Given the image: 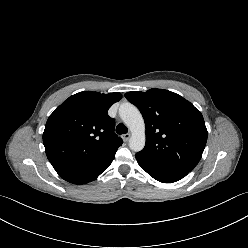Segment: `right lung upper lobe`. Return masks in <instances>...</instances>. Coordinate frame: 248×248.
<instances>
[{
    "instance_id": "obj_1",
    "label": "right lung upper lobe",
    "mask_w": 248,
    "mask_h": 248,
    "mask_svg": "<svg viewBox=\"0 0 248 248\" xmlns=\"http://www.w3.org/2000/svg\"><path fill=\"white\" fill-rule=\"evenodd\" d=\"M120 93L84 91L65 100L48 118L43 143L54 163H87L118 149L123 141L115 133L108 109Z\"/></svg>"
}]
</instances>
